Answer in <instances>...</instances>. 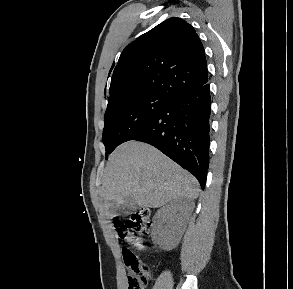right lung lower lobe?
Listing matches in <instances>:
<instances>
[{"mask_svg":"<svg viewBox=\"0 0 293 289\" xmlns=\"http://www.w3.org/2000/svg\"><path fill=\"white\" fill-rule=\"evenodd\" d=\"M210 85L181 94L127 141L149 143L187 169L205 187L209 165Z\"/></svg>","mask_w":293,"mask_h":289,"instance_id":"1","label":"right lung lower lobe"}]
</instances>
